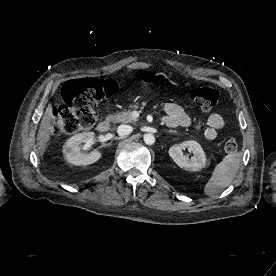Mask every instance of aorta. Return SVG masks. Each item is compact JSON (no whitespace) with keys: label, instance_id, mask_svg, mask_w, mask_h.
<instances>
[{"label":"aorta","instance_id":"1","mask_svg":"<svg viewBox=\"0 0 276 276\" xmlns=\"http://www.w3.org/2000/svg\"><path fill=\"white\" fill-rule=\"evenodd\" d=\"M144 142L147 144V145H152L155 143V137L154 135L152 134H145L144 135Z\"/></svg>","mask_w":276,"mask_h":276}]
</instances>
